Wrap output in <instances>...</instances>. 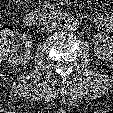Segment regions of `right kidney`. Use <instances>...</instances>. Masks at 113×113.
Returning <instances> with one entry per match:
<instances>
[{"label":"right kidney","instance_id":"right-kidney-1","mask_svg":"<svg viewBox=\"0 0 113 113\" xmlns=\"http://www.w3.org/2000/svg\"><path fill=\"white\" fill-rule=\"evenodd\" d=\"M31 46V37L25 33L19 34L9 49L8 62L13 65L28 63L31 58Z\"/></svg>","mask_w":113,"mask_h":113}]
</instances>
